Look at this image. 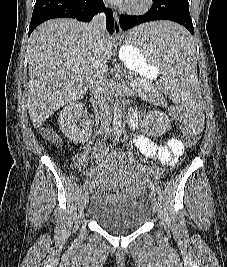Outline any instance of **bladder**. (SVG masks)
<instances>
[{
	"instance_id": "31cf9c89",
	"label": "bladder",
	"mask_w": 227,
	"mask_h": 267,
	"mask_svg": "<svg viewBox=\"0 0 227 267\" xmlns=\"http://www.w3.org/2000/svg\"><path fill=\"white\" fill-rule=\"evenodd\" d=\"M150 208L143 195L137 194L119 200H96L89 217L113 234H128L139 229L149 218Z\"/></svg>"
}]
</instances>
